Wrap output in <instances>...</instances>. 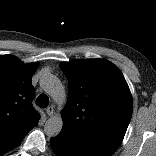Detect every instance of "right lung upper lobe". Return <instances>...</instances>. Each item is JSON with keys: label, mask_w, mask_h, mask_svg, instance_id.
<instances>
[{"label": "right lung upper lobe", "mask_w": 156, "mask_h": 156, "mask_svg": "<svg viewBox=\"0 0 156 156\" xmlns=\"http://www.w3.org/2000/svg\"><path fill=\"white\" fill-rule=\"evenodd\" d=\"M37 68L38 63L0 55V155L16 147L38 124L40 116L31 103V79Z\"/></svg>", "instance_id": "cb5924a9"}]
</instances>
